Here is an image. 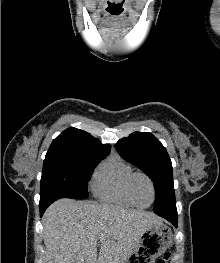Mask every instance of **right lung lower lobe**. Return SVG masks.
I'll return each mask as SVG.
<instances>
[{"label":"right lung lower lobe","instance_id":"right-lung-lower-lobe-1","mask_svg":"<svg viewBox=\"0 0 220 263\" xmlns=\"http://www.w3.org/2000/svg\"><path fill=\"white\" fill-rule=\"evenodd\" d=\"M54 201H49V202H46V203H40L39 204V207H40V216L43 215V213L45 212V210L48 208V206L50 204H52Z\"/></svg>","mask_w":220,"mask_h":263}]
</instances>
